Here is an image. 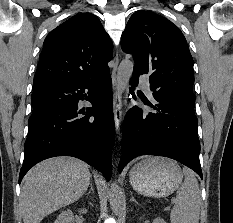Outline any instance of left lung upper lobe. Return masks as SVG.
Segmentation results:
<instances>
[{
  "mask_svg": "<svg viewBox=\"0 0 233 223\" xmlns=\"http://www.w3.org/2000/svg\"><path fill=\"white\" fill-rule=\"evenodd\" d=\"M121 47L133 55L135 72L151 74L153 97L195 102L194 61L184 35L171 21L150 11L135 12L122 34Z\"/></svg>",
  "mask_w": 233,
  "mask_h": 223,
  "instance_id": "obj_1",
  "label": "left lung upper lobe"
}]
</instances>
